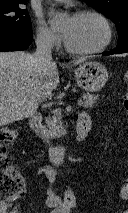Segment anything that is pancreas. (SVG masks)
I'll return each instance as SVG.
<instances>
[{"mask_svg": "<svg viewBox=\"0 0 128 213\" xmlns=\"http://www.w3.org/2000/svg\"><path fill=\"white\" fill-rule=\"evenodd\" d=\"M97 99L98 95L83 94L79 104L84 108L93 107ZM46 124L48 133L54 137H60L66 132L62 126L61 111L59 109L54 110L53 115L46 118Z\"/></svg>", "mask_w": 128, "mask_h": 213, "instance_id": "pancreas-1", "label": "pancreas"}]
</instances>
